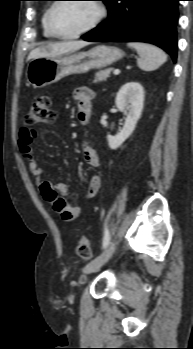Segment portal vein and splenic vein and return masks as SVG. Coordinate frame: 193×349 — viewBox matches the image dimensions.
Wrapping results in <instances>:
<instances>
[{"instance_id":"obj_1","label":"portal vein and splenic vein","mask_w":193,"mask_h":349,"mask_svg":"<svg viewBox=\"0 0 193 349\" xmlns=\"http://www.w3.org/2000/svg\"><path fill=\"white\" fill-rule=\"evenodd\" d=\"M113 73H114L115 75H117V74L120 73V70H119V69H115V70L113 71Z\"/></svg>"}]
</instances>
